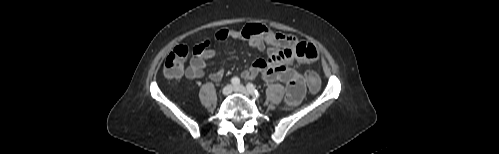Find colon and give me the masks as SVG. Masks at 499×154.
Here are the masks:
<instances>
[{"instance_id":"colon-1","label":"colon","mask_w":499,"mask_h":154,"mask_svg":"<svg viewBox=\"0 0 499 154\" xmlns=\"http://www.w3.org/2000/svg\"><path fill=\"white\" fill-rule=\"evenodd\" d=\"M189 48L186 45H178L167 56L164 63V75L169 79H175L182 75L184 63L188 57ZM304 82L311 92L320 89L321 81L319 75L314 70H307L304 74Z\"/></svg>"}]
</instances>
